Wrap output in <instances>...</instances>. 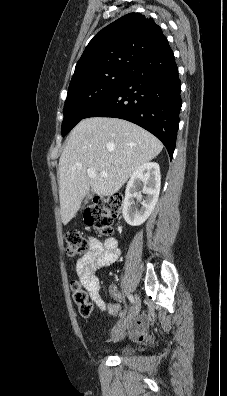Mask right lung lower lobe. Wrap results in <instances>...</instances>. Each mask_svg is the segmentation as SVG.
<instances>
[{
  "instance_id": "1",
  "label": "right lung lower lobe",
  "mask_w": 227,
  "mask_h": 396,
  "mask_svg": "<svg viewBox=\"0 0 227 396\" xmlns=\"http://www.w3.org/2000/svg\"><path fill=\"white\" fill-rule=\"evenodd\" d=\"M181 83L168 45L142 60L120 87L94 107L88 117H115L155 135L172 157L182 105Z\"/></svg>"
}]
</instances>
